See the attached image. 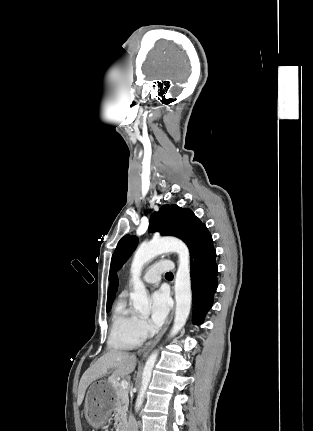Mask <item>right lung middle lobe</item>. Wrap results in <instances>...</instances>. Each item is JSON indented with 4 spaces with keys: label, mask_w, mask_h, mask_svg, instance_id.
<instances>
[{
    "label": "right lung middle lobe",
    "mask_w": 313,
    "mask_h": 431,
    "mask_svg": "<svg viewBox=\"0 0 313 431\" xmlns=\"http://www.w3.org/2000/svg\"><path fill=\"white\" fill-rule=\"evenodd\" d=\"M110 309H111V306L107 307V312H109V311H110Z\"/></svg>",
    "instance_id": "1"
}]
</instances>
